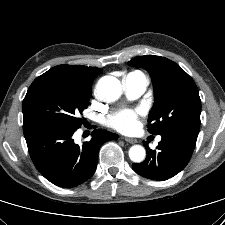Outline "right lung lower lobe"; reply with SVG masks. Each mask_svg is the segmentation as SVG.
<instances>
[{
	"label": "right lung lower lobe",
	"instance_id": "98d812e1",
	"mask_svg": "<svg viewBox=\"0 0 225 225\" xmlns=\"http://www.w3.org/2000/svg\"><path fill=\"white\" fill-rule=\"evenodd\" d=\"M77 129L49 122L23 124L30 157L37 170L51 183L71 188L88 180L95 172L100 146L118 135L96 129L82 146L74 143Z\"/></svg>",
	"mask_w": 225,
	"mask_h": 225
}]
</instances>
